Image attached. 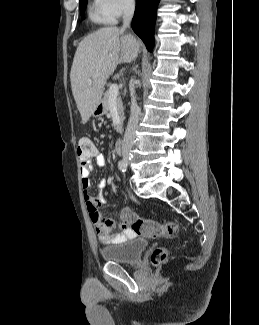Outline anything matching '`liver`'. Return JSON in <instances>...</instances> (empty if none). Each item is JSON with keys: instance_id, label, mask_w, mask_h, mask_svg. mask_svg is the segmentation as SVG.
Listing matches in <instances>:
<instances>
[{"instance_id": "liver-1", "label": "liver", "mask_w": 259, "mask_h": 325, "mask_svg": "<svg viewBox=\"0 0 259 325\" xmlns=\"http://www.w3.org/2000/svg\"><path fill=\"white\" fill-rule=\"evenodd\" d=\"M139 41L117 27H105L78 45L70 72L72 94L85 124L101 101L108 77L120 63L134 61Z\"/></svg>"}]
</instances>
